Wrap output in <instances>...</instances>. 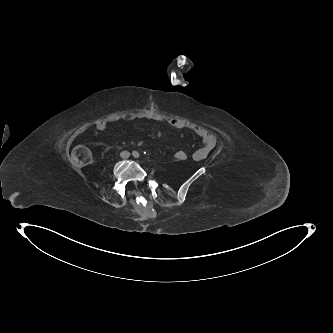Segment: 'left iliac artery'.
Wrapping results in <instances>:
<instances>
[{"mask_svg": "<svg viewBox=\"0 0 333 333\" xmlns=\"http://www.w3.org/2000/svg\"><path fill=\"white\" fill-rule=\"evenodd\" d=\"M133 156H134L135 158H138V157H139V153H138L137 151H134V152H133Z\"/></svg>", "mask_w": 333, "mask_h": 333, "instance_id": "1", "label": "left iliac artery"}]
</instances>
